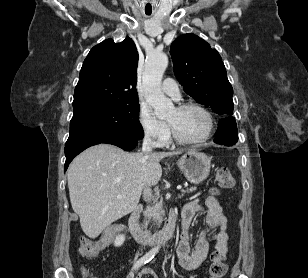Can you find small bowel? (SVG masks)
<instances>
[{
	"label": "small bowel",
	"instance_id": "obj_1",
	"mask_svg": "<svg viewBox=\"0 0 308 278\" xmlns=\"http://www.w3.org/2000/svg\"><path fill=\"white\" fill-rule=\"evenodd\" d=\"M198 213L204 215L206 227L198 235L194 249L190 248V226L194 216ZM182 232L176 254L180 266L188 271H198L206 259L209 250L208 239L216 240L217 251L226 254L228 235L226 233L227 219L223 214L218 200L212 196H205L203 204L194 200L183 205L181 209ZM150 268H143L135 278H152Z\"/></svg>",
	"mask_w": 308,
	"mask_h": 278
}]
</instances>
